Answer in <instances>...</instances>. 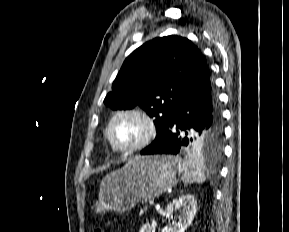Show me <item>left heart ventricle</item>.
Wrapping results in <instances>:
<instances>
[{
	"mask_svg": "<svg viewBox=\"0 0 289 232\" xmlns=\"http://www.w3.org/2000/svg\"><path fill=\"white\" fill-rule=\"evenodd\" d=\"M145 134V125L137 117L128 115L118 118L113 126L115 141L123 146L137 143Z\"/></svg>",
	"mask_w": 289,
	"mask_h": 232,
	"instance_id": "obj_1",
	"label": "left heart ventricle"
}]
</instances>
